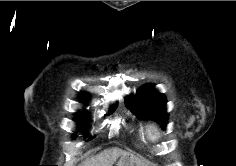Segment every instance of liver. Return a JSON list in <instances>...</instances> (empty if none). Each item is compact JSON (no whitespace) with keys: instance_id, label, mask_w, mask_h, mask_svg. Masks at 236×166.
<instances>
[{"instance_id":"obj_1","label":"liver","mask_w":236,"mask_h":166,"mask_svg":"<svg viewBox=\"0 0 236 166\" xmlns=\"http://www.w3.org/2000/svg\"><path fill=\"white\" fill-rule=\"evenodd\" d=\"M130 154L119 148H112L101 152L100 154L91 157L84 161L79 166H113L118 158L129 156ZM132 156V155H131ZM133 162L137 166H144V164L137 158L132 156Z\"/></svg>"}]
</instances>
